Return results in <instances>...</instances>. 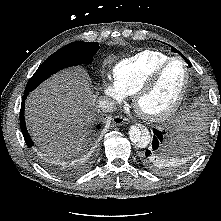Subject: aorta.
<instances>
[{"mask_svg": "<svg viewBox=\"0 0 221 221\" xmlns=\"http://www.w3.org/2000/svg\"><path fill=\"white\" fill-rule=\"evenodd\" d=\"M128 133L130 140L140 148H145L150 143L151 135L147 128L133 125Z\"/></svg>", "mask_w": 221, "mask_h": 221, "instance_id": "obj_1", "label": "aorta"}]
</instances>
